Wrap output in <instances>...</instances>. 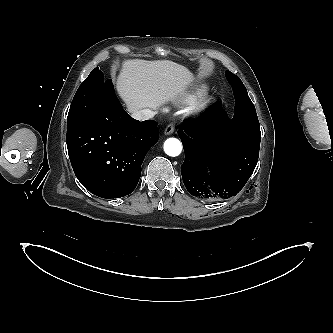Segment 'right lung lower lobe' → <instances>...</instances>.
<instances>
[{
    "mask_svg": "<svg viewBox=\"0 0 333 333\" xmlns=\"http://www.w3.org/2000/svg\"><path fill=\"white\" fill-rule=\"evenodd\" d=\"M157 122L130 117L112 83L87 114L67 126V149L80 183L101 198L133 192L148 150L158 141Z\"/></svg>",
    "mask_w": 333,
    "mask_h": 333,
    "instance_id": "1",
    "label": "right lung lower lobe"
}]
</instances>
